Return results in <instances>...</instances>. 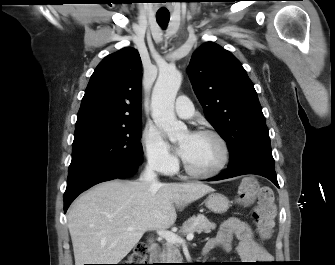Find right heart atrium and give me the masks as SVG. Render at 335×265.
Here are the masks:
<instances>
[{
    "instance_id": "d8ad5b80",
    "label": "right heart atrium",
    "mask_w": 335,
    "mask_h": 265,
    "mask_svg": "<svg viewBox=\"0 0 335 265\" xmlns=\"http://www.w3.org/2000/svg\"><path fill=\"white\" fill-rule=\"evenodd\" d=\"M142 147L147 163L162 174H170L176 168V158L170 152L160 131L148 124L142 134Z\"/></svg>"
}]
</instances>
